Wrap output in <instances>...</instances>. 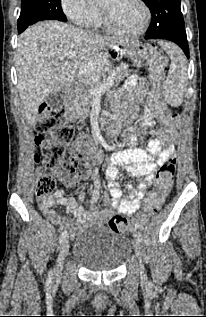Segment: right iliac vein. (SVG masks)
Wrapping results in <instances>:
<instances>
[{
	"instance_id": "right-iliac-vein-1",
	"label": "right iliac vein",
	"mask_w": 206,
	"mask_h": 317,
	"mask_svg": "<svg viewBox=\"0 0 206 317\" xmlns=\"http://www.w3.org/2000/svg\"><path fill=\"white\" fill-rule=\"evenodd\" d=\"M69 241L68 240H64L60 251H59V255L57 258V262L55 265V269H54V275L56 278H59L62 275V270H63V265H64V260L69 252Z\"/></svg>"
}]
</instances>
